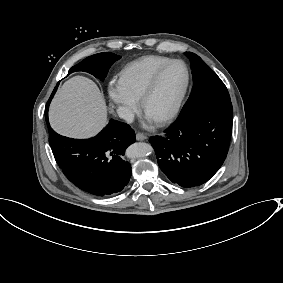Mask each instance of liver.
Masks as SVG:
<instances>
[{
	"instance_id": "liver-1",
	"label": "liver",
	"mask_w": 283,
	"mask_h": 283,
	"mask_svg": "<svg viewBox=\"0 0 283 283\" xmlns=\"http://www.w3.org/2000/svg\"><path fill=\"white\" fill-rule=\"evenodd\" d=\"M50 122L60 134L80 138L106 123V105L97 85L81 76L65 82L50 108Z\"/></svg>"
}]
</instances>
